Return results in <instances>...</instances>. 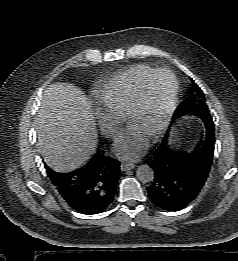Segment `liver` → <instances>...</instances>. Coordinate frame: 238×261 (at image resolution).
I'll list each match as a JSON object with an SVG mask.
<instances>
[{
    "label": "liver",
    "instance_id": "6515ba94",
    "mask_svg": "<svg viewBox=\"0 0 238 261\" xmlns=\"http://www.w3.org/2000/svg\"><path fill=\"white\" fill-rule=\"evenodd\" d=\"M36 127L40 152L55 170L76 169L96 149L98 134L90 101L72 84L49 86L43 94Z\"/></svg>",
    "mask_w": 238,
    "mask_h": 261
}]
</instances>
